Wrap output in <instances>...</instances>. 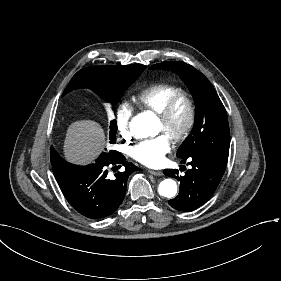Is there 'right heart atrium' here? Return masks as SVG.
I'll list each match as a JSON object with an SVG mask.
<instances>
[{"instance_id": "right-heart-atrium-1", "label": "right heart atrium", "mask_w": 281, "mask_h": 281, "mask_svg": "<svg viewBox=\"0 0 281 281\" xmlns=\"http://www.w3.org/2000/svg\"><path fill=\"white\" fill-rule=\"evenodd\" d=\"M132 117V107L129 103L121 101L115 111V125L118 133L124 140L130 142L133 138H139L142 128L134 123ZM128 150V145L124 146Z\"/></svg>"}]
</instances>
